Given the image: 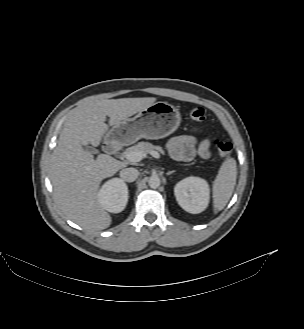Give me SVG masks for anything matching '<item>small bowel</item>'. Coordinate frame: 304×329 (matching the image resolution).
Wrapping results in <instances>:
<instances>
[{
    "mask_svg": "<svg viewBox=\"0 0 304 329\" xmlns=\"http://www.w3.org/2000/svg\"><path fill=\"white\" fill-rule=\"evenodd\" d=\"M168 150L174 160L181 162H189L196 156L202 159L211 157L210 140L205 138L198 141L193 135H182L172 139L168 143Z\"/></svg>",
    "mask_w": 304,
    "mask_h": 329,
    "instance_id": "1",
    "label": "small bowel"
}]
</instances>
